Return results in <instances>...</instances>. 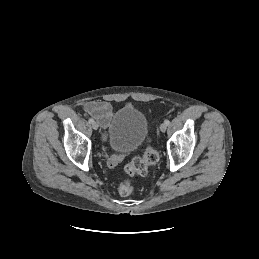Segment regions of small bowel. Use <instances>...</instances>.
<instances>
[{"label": "small bowel", "mask_w": 259, "mask_h": 259, "mask_svg": "<svg viewBox=\"0 0 259 259\" xmlns=\"http://www.w3.org/2000/svg\"><path fill=\"white\" fill-rule=\"evenodd\" d=\"M85 110L96 118L103 127H107L113 115L112 105L109 102L102 100L87 102L85 104ZM121 159L122 156H113L109 159L108 164L113 167Z\"/></svg>", "instance_id": "small-bowel-1"}]
</instances>
